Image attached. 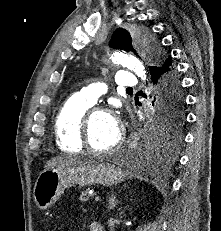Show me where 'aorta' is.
I'll list each match as a JSON object with an SVG mask.
<instances>
[{
	"instance_id": "obj_1",
	"label": "aorta",
	"mask_w": 221,
	"mask_h": 231,
	"mask_svg": "<svg viewBox=\"0 0 221 231\" xmlns=\"http://www.w3.org/2000/svg\"><path fill=\"white\" fill-rule=\"evenodd\" d=\"M111 58L113 62L128 67L138 77H140L143 80H146L145 68L136 57L124 52L117 51L112 55Z\"/></svg>"
}]
</instances>
